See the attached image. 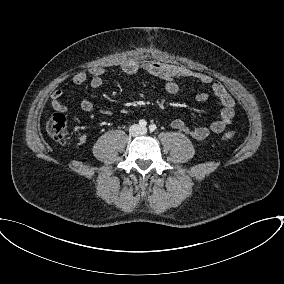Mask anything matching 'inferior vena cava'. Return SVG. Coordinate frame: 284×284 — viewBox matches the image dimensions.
<instances>
[{
    "label": "inferior vena cava",
    "instance_id": "602c4592",
    "mask_svg": "<svg viewBox=\"0 0 284 284\" xmlns=\"http://www.w3.org/2000/svg\"><path fill=\"white\" fill-rule=\"evenodd\" d=\"M141 133V128H140V126H138V125H132L131 127H130V134H132V135H137V134H140Z\"/></svg>",
    "mask_w": 284,
    "mask_h": 284
}]
</instances>
